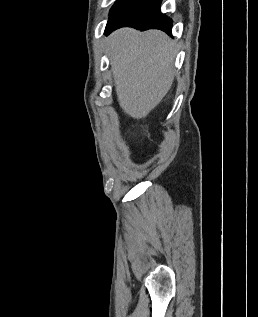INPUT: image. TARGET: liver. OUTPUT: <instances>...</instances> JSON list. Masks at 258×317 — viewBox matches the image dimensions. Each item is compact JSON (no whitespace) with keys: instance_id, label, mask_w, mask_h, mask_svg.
Returning <instances> with one entry per match:
<instances>
[{"instance_id":"obj_1","label":"liver","mask_w":258,"mask_h":317,"mask_svg":"<svg viewBox=\"0 0 258 317\" xmlns=\"http://www.w3.org/2000/svg\"><path fill=\"white\" fill-rule=\"evenodd\" d=\"M176 42L162 30L118 28L108 36L107 52L121 108L144 118L161 102L174 80Z\"/></svg>"}]
</instances>
